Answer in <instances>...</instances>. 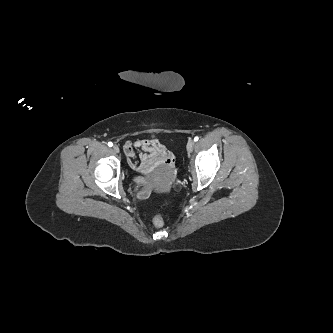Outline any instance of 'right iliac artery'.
<instances>
[{
    "label": "right iliac artery",
    "instance_id": "82829eb1",
    "mask_svg": "<svg viewBox=\"0 0 333 333\" xmlns=\"http://www.w3.org/2000/svg\"><path fill=\"white\" fill-rule=\"evenodd\" d=\"M108 146H109V147H112V146H113V143H112V142H109V143H108Z\"/></svg>",
    "mask_w": 333,
    "mask_h": 333
}]
</instances>
